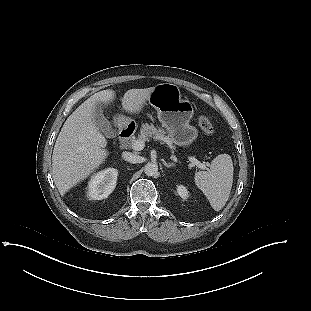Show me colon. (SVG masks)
Wrapping results in <instances>:
<instances>
[{
	"instance_id": "obj_1",
	"label": "colon",
	"mask_w": 311,
	"mask_h": 311,
	"mask_svg": "<svg viewBox=\"0 0 311 311\" xmlns=\"http://www.w3.org/2000/svg\"><path fill=\"white\" fill-rule=\"evenodd\" d=\"M199 126L206 133H211L213 131L212 124L206 118L200 119Z\"/></svg>"
}]
</instances>
